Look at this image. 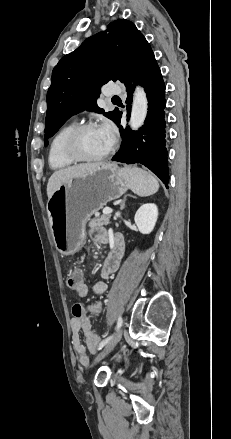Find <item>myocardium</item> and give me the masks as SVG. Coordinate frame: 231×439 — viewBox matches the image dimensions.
Returning a JSON list of instances; mask_svg holds the SVG:
<instances>
[{"instance_id": "1", "label": "myocardium", "mask_w": 231, "mask_h": 439, "mask_svg": "<svg viewBox=\"0 0 231 439\" xmlns=\"http://www.w3.org/2000/svg\"><path fill=\"white\" fill-rule=\"evenodd\" d=\"M98 128L96 124L87 122L75 125L65 136L63 140V152L67 158L73 162H98L106 159L113 151V144L101 155L87 157L82 155L77 147L78 137L86 130Z\"/></svg>"}]
</instances>
